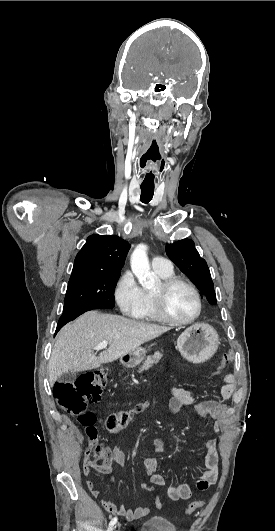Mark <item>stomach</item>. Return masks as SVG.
Instances as JSON below:
<instances>
[{"mask_svg": "<svg viewBox=\"0 0 275 531\" xmlns=\"http://www.w3.org/2000/svg\"><path fill=\"white\" fill-rule=\"evenodd\" d=\"M219 335L210 325H203V323H196L192 327H188L177 341V347L184 359L191 361V363H205L215 355L218 349ZM148 349H135L129 351L121 357L124 365H139L144 361Z\"/></svg>", "mask_w": 275, "mask_h": 531, "instance_id": "1", "label": "stomach"}]
</instances>
